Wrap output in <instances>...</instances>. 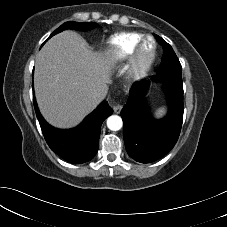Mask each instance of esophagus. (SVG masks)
I'll use <instances>...</instances> for the list:
<instances>
[{
	"mask_svg": "<svg viewBox=\"0 0 227 227\" xmlns=\"http://www.w3.org/2000/svg\"><path fill=\"white\" fill-rule=\"evenodd\" d=\"M122 109V105L121 104H117L113 107V110L116 114H119L121 112Z\"/></svg>",
	"mask_w": 227,
	"mask_h": 227,
	"instance_id": "34e87169",
	"label": "esophagus"
}]
</instances>
